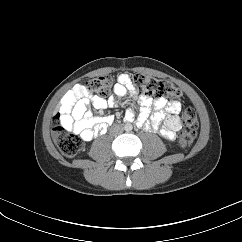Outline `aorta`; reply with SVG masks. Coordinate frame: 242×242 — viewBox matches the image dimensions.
Returning <instances> with one entry per match:
<instances>
[{
  "label": "aorta",
  "mask_w": 242,
  "mask_h": 242,
  "mask_svg": "<svg viewBox=\"0 0 242 242\" xmlns=\"http://www.w3.org/2000/svg\"><path fill=\"white\" fill-rule=\"evenodd\" d=\"M125 130H126V131H130V130H132V125H131V124H127V125L125 126Z\"/></svg>",
  "instance_id": "aorta-1"
}]
</instances>
